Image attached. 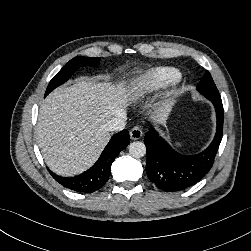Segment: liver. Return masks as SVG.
Returning a JSON list of instances; mask_svg holds the SVG:
<instances>
[{
    "label": "liver",
    "instance_id": "6515ba94",
    "mask_svg": "<svg viewBox=\"0 0 251 251\" xmlns=\"http://www.w3.org/2000/svg\"><path fill=\"white\" fill-rule=\"evenodd\" d=\"M129 100L124 85L88 78L50 93L40 107L36 131L48 167L62 176L91 167L110 139L107 123L126 113Z\"/></svg>",
    "mask_w": 251,
    "mask_h": 251
}]
</instances>
